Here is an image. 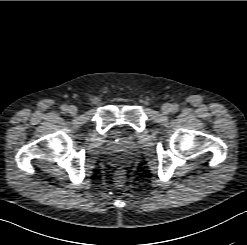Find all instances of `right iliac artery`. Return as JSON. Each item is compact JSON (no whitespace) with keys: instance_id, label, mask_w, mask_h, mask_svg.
Masks as SVG:
<instances>
[{"instance_id":"obj_1","label":"right iliac artery","mask_w":247,"mask_h":245,"mask_svg":"<svg viewBox=\"0 0 247 245\" xmlns=\"http://www.w3.org/2000/svg\"><path fill=\"white\" fill-rule=\"evenodd\" d=\"M61 110L63 113H66L68 111V106L67 105H62Z\"/></svg>"}]
</instances>
